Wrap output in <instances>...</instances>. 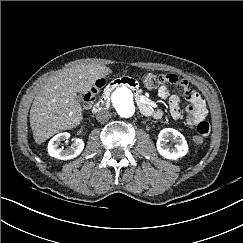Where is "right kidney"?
I'll use <instances>...</instances> for the list:
<instances>
[{
  "instance_id": "obj_1",
  "label": "right kidney",
  "mask_w": 243,
  "mask_h": 243,
  "mask_svg": "<svg viewBox=\"0 0 243 243\" xmlns=\"http://www.w3.org/2000/svg\"><path fill=\"white\" fill-rule=\"evenodd\" d=\"M70 134L63 132L55 135L48 143V153L54 158L61 160H69L77 157L84 149V141L82 139H74L69 148H59L62 141L68 140Z\"/></svg>"
}]
</instances>
